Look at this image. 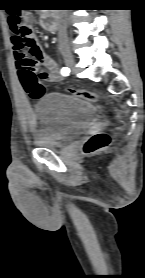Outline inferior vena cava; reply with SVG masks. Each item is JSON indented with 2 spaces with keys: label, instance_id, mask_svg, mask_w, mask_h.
<instances>
[{
  "label": "inferior vena cava",
  "instance_id": "1",
  "mask_svg": "<svg viewBox=\"0 0 145 278\" xmlns=\"http://www.w3.org/2000/svg\"><path fill=\"white\" fill-rule=\"evenodd\" d=\"M59 43L64 44L67 42V31H66V22L64 19V13L61 16V24L58 32Z\"/></svg>",
  "mask_w": 145,
  "mask_h": 278
}]
</instances>
